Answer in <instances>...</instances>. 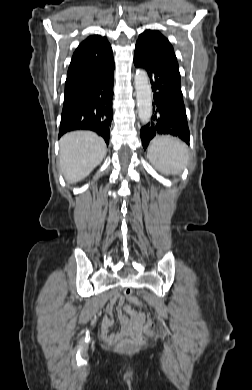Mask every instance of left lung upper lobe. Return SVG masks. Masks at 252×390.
I'll return each instance as SVG.
<instances>
[{
  "label": "left lung upper lobe",
  "instance_id": "obj_1",
  "mask_svg": "<svg viewBox=\"0 0 252 390\" xmlns=\"http://www.w3.org/2000/svg\"><path fill=\"white\" fill-rule=\"evenodd\" d=\"M137 43L143 44L154 53L169 60L178 67L177 58L170 42L159 31L146 30L139 35Z\"/></svg>",
  "mask_w": 252,
  "mask_h": 390
}]
</instances>
